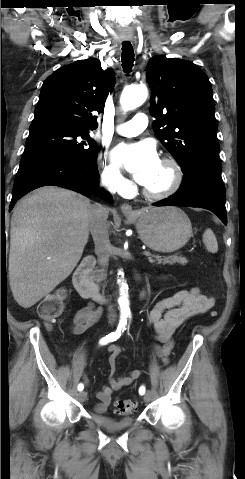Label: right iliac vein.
Instances as JSON below:
<instances>
[{
    "label": "right iliac vein",
    "instance_id": "obj_1",
    "mask_svg": "<svg viewBox=\"0 0 245 479\" xmlns=\"http://www.w3.org/2000/svg\"><path fill=\"white\" fill-rule=\"evenodd\" d=\"M79 401L83 402L86 400L87 394L86 392L82 391L77 394Z\"/></svg>",
    "mask_w": 245,
    "mask_h": 479
}]
</instances>
